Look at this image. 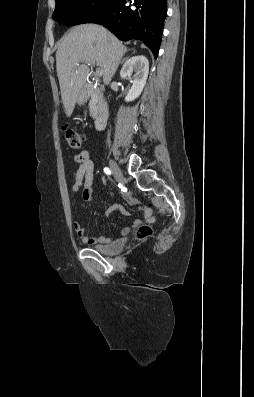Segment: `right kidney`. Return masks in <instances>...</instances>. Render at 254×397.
Segmentation results:
<instances>
[{
  "instance_id": "right-kidney-1",
  "label": "right kidney",
  "mask_w": 254,
  "mask_h": 397,
  "mask_svg": "<svg viewBox=\"0 0 254 397\" xmlns=\"http://www.w3.org/2000/svg\"><path fill=\"white\" fill-rule=\"evenodd\" d=\"M148 72L149 61L143 55L134 56L125 62L120 71V76L122 78H129L132 83L125 101H133L140 96L146 84ZM132 75L133 77H131Z\"/></svg>"
}]
</instances>
